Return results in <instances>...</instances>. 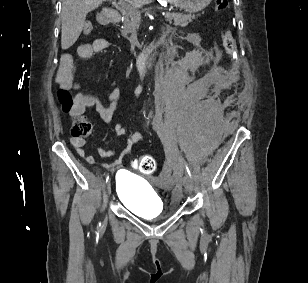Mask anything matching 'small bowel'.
I'll return each instance as SVG.
<instances>
[{"label": "small bowel", "instance_id": "obj_1", "mask_svg": "<svg viewBox=\"0 0 308 283\" xmlns=\"http://www.w3.org/2000/svg\"><path fill=\"white\" fill-rule=\"evenodd\" d=\"M108 42L104 38H97L90 43L83 44L78 49V54L81 57L89 58L94 54L103 52L107 49ZM57 83L61 89L64 90H78L80 88L79 83L75 79V63L71 57H63L60 62V66L57 72ZM120 97V90L114 89L108 97V104L103 105L98 98L87 93H78L75 97V107L69 112L71 116L81 115L87 109L94 108L100 118L104 122H110L117 108V101ZM115 133L118 136H126V145L123 154L128 152L132 145L141 139V132L134 131L129 132L122 123H117L114 126ZM71 143L74 146L77 154L83 158L87 163L94 164V156L88 154L85 150V140L82 138H71ZM98 154L102 158L110 157L114 154L113 150L98 149ZM120 159H117L112 164H107L105 167L118 164Z\"/></svg>", "mask_w": 308, "mask_h": 283}]
</instances>
